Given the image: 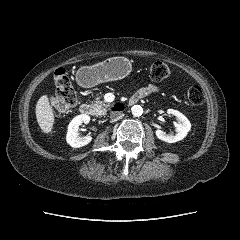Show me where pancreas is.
Instances as JSON below:
<instances>
[{"instance_id":"pancreas-1","label":"pancreas","mask_w":240,"mask_h":240,"mask_svg":"<svg viewBox=\"0 0 240 240\" xmlns=\"http://www.w3.org/2000/svg\"><path fill=\"white\" fill-rule=\"evenodd\" d=\"M111 104L100 100L99 97L92 102V107L96 110L98 115H105L107 110L111 108Z\"/></svg>"}]
</instances>
